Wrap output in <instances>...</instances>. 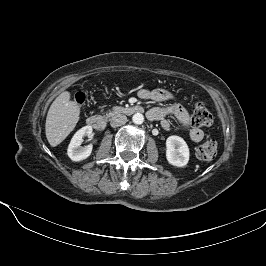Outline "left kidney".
I'll return each instance as SVG.
<instances>
[{"label":"left kidney","mask_w":266,"mask_h":266,"mask_svg":"<svg viewBox=\"0 0 266 266\" xmlns=\"http://www.w3.org/2000/svg\"><path fill=\"white\" fill-rule=\"evenodd\" d=\"M189 148L183 138L169 136L166 140V159L176 167H183L189 161Z\"/></svg>","instance_id":"5707ae66"}]
</instances>
